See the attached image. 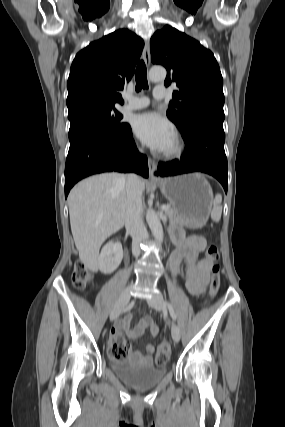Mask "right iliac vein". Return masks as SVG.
<instances>
[{
  "instance_id": "right-iliac-vein-1",
  "label": "right iliac vein",
  "mask_w": 285,
  "mask_h": 427,
  "mask_svg": "<svg viewBox=\"0 0 285 427\" xmlns=\"http://www.w3.org/2000/svg\"><path fill=\"white\" fill-rule=\"evenodd\" d=\"M129 300H130V287H127L121 292L116 304L114 305L111 311V314H110L111 321L115 320L120 315V313L124 310Z\"/></svg>"
}]
</instances>
